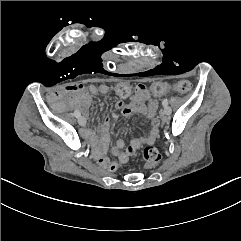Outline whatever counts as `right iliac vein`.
<instances>
[{"label":"right iliac vein","instance_id":"right-iliac-vein-1","mask_svg":"<svg viewBox=\"0 0 241 241\" xmlns=\"http://www.w3.org/2000/svg\"><path fill=\"white\" fill-rule=\"evenodd\" d=\"M78 123H79L81 126H85V124H86L85 118L82 117V116L78 117Z\"/></svg>","mask_w":241,"mask_h":241}]
</instances>
